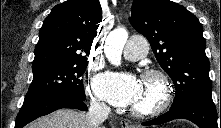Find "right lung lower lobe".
<instances>
[{
    "label": "right lung lower lobe",
    "mask_w": 221,
    "mask_h": 128,
    "mask_svg": "<svg viewBox=\"0 0 221 128\" xmlns=\"http://www.w3.org/2000/svg\"><path fill=\"white\" fill-rule=\"evenodd\" d=\"M85 99L69 93H53L23 103L16 119L15 128H22L36 118L61 108H73L88 111Z\"/></svg>",
    "instance_id": "right-lung-lower-lobe-1"
}]
</instances>
